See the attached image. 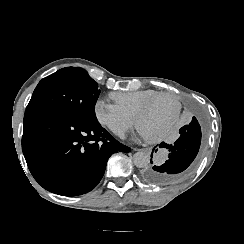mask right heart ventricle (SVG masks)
I'll use <instances>...</instances> for the list:
<instances>
[{
  "label": "right heart ventricle",
  "mask_w": 244,
  "mask_h": 244,
  "mask_svg": "<svg viewBox=\"0 0 244 244\" xmlns=\"http://www.w3.org/2000/svg\"><path fill=\"white\" fill-rule=\"evenodd\" d=\"M161 93L162 92L155 90H141L138 92L135 90H130L123 92L120 96L121 92H112L109 94V99L114 101L116 104L122 105L139 117L142 104L147 102L149 98H154L155 95H159ZM148 132L153 133L151 130H148Z\"/></svg>",
  "instance_id": "right-heart-ventricle-1"
}]
</instances>
